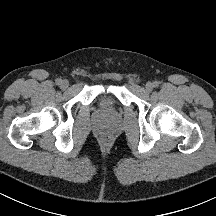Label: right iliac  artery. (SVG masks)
I'll list each match as a JSON object with an SVG mask.
<instances>
[{
    "mask_svg": "<svg viewBox=\"0 0 216 216\" xmlns=\"http://www.w3.org/2000/svg\"><path fill=\"white\" fill-rule=\"evenodd\" d=\"M61 82H62V80H61L60 78L56 79V84H57V85H60Z\"/></svg>",
    "mask_w": 216,
    "mask_h": 216,
    "instance_id": "obj_1",
    "label": "right iliac artery"
}]
</instances>
